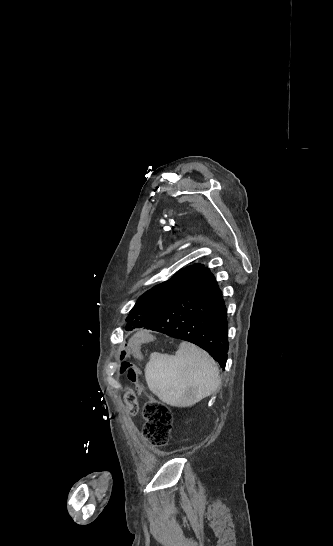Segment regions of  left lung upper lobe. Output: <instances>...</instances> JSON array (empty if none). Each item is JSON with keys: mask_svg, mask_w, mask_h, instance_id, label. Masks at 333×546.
<instances>
[{"mask_svg": "<svg viewBox=\"0 0 333 546\" xmlns=\"http://www.w3.org/2000/svg\"><path fill=\"white\" fill-rule=\"evenodd\" d=\"M203 267L204 265L194 264L181 269L169 280L145 292L139 297L127 319H135L140 328L147 326L160 310L176 300L193 283Z\"/></svg>", "mask_w": 333, "mask_h": 546, "instance_id": "obj_1", "label": "left lung upper lobe"}]
</instances>
